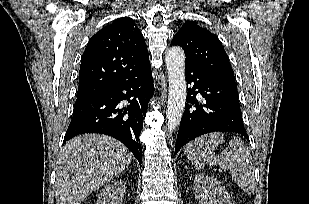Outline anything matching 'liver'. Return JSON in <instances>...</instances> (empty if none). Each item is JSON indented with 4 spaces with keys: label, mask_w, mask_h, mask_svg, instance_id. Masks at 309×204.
Segmentation results:
<instances>
[{
    "label": "liver",
    "mask_w": 309,
    "mask_h": 204,
    "mask_svg": "<svg viewBox=\"0 0 309 204\" xmlns=\"http://www.w3.org/2000/svg\"><path fill=\"white\" fill-rule=\"evenodd\" d=\"M131 152L119 141L84 134L61 149L55 182L56 204H81L84 199L128 167Z\"/></svg>",
    "instance_id": "6515ba94"
}]
</instances>
